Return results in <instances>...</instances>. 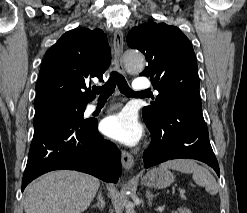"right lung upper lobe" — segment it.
<instances>
[{
	"mask_svg": "<svg viewBox=\"0 0 247 213\" xmlns=\"http://www.w3.org/2000/svg\"><path fill=\"white\" fill-rule=\"evenodd\" d=\"M110 62V48L102 30L80 28L66 32L44 57L35 109L54 100L87 104L95 98L90 90L91 80H101Z\"/></svg>",
	"mask_w": 247,
	"mask_h": 213,
	"instance_id": "obj_1",
	"label": "right lung upper lobe"
}]
</instances>
